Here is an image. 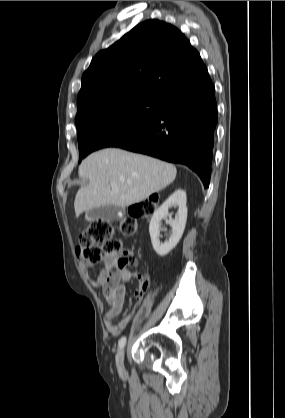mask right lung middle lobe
Here are the masks:
<instances>
[{
    "mask_svg": "<svg viewBox=\"0 0 285 418\" xmlns=\"http://www.w3.org/2000/svg\"><path fill=\"white\" fill-rule=\"evenodd\" d=\"M160 104L137 101L106 108L76 123L80 159L105 147H115L138 134L159 114Z\"/></svg>",
    "mask_w": 285,
    "mask_h": 418,
    "instance_id": "1",
    "label": "right lung middle lobe"
}]
</instances>
